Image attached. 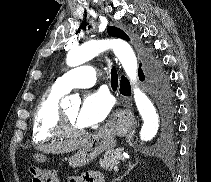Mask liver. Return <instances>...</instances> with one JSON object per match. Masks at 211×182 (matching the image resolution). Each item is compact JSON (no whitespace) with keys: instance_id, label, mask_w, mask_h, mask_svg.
Here are the masks:
<instances>
[{"instance_id":"1","label":"liver","mask_w":211,"mask_h":182,"mask_svg":"<svg viewBox=\"0 0 211 182\" xmlns=\"http://www.w3.org/2000/svg\"><path fill=\"white\" fill-rule=\"evenodd\" d=\"M90 138L91 135H87L74 140L40 145L36 149L44 153H52V154L68 153L83 147Z\"/></svg>"}]
</instances>
